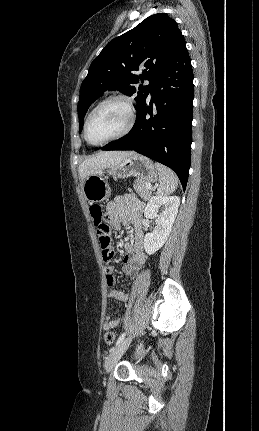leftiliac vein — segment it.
Instances as JSON below:
<instances>
[{
    "mask_svg": "<svg viewBox=\"0 0 259 431\" xmlns=\"http://www.w3.org/2000/svg\"><path fill=\"white\" fill-rule=\"evenodd\" d=\"M130 343H131V338H126L123 341H121L115 348L112 349L111 353L109 354L105 362V370L107 373H109L115 367L117 362L120 360L122 355L129 347Z\"/></svg>",
    "mask_w": 259,
    "mask_h": 431,
    "instance_id": "obj_1",
    "label": "left iliac vein"
}]
</instances>
